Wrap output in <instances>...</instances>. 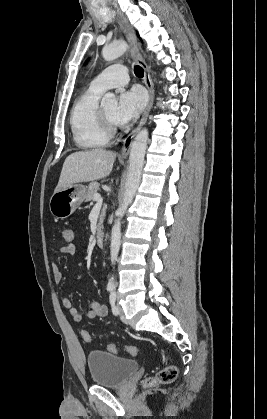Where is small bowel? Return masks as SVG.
Listing matches in <instances>:
<instances>
[{
	"instance_id": "c3829d8e",
	"label": "small bowel",
	"mask_w": 267,
	"mask_h": 419,
	"mask_svg": "<svg viewBox=\"0 0 267 419\" xmlns=\"http://www.w3.org/2000/svg\"><path fill=\"white\" fill-rule=\"evenodd\" d=\"M75 253H76V245L65 244L58 250L59 255H73ZM51 270H52L54 281L56 283H60L63 280V274L56 262L52 263ZM61 303H62V306L68 310L70 316L72 317L74 321L79 322L82 320L81 312L76 307L73 306L72 301L69 297L67 296L63 297L61 300ZM107 314H108V308L97 301H91L86 311V316L90 319L105 317Z\"/></svg>"
}]
</instances>
